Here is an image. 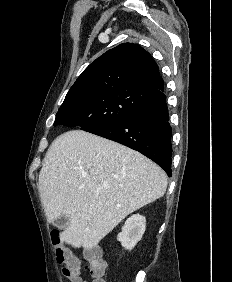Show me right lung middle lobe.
I'll return each mask as SVG.
<instances>
[{"label":"right lung middle lobe","mask_w":232,"mask_h":282,"mask_svg":"<svg viewBox=\"0 0 232 282\" xmlns=\"http://www.w3.org/2000/svg\"><path fill=\"white\" fill-rule=\"evenodd\" d=\"M147 94L130 89L86 93L64 100L54 126H77L82 130L114 124L153 106Z\"/></svg>","instance_id":"obj_1"}]
</instances>
